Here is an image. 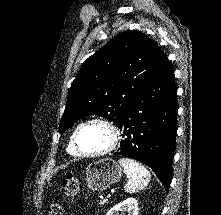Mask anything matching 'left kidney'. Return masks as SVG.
I'll list each match as a JSON object with an SVG mask.
<instances>
[{"instance_id":"obj_1","label":"left kidney","mask_w":221,"mask_h":215,"mask_svg":"<svg viewBox=\"0 0 221 215\" xmlns=\"http://www.w3.org/2000/svg\"><path fill=\"white\" fill-rule=\"evenodd\" d=\"M128 212V215H138V202L134 198H127L123 202L113 206L106 215H120L119 212Z\"/></svg>"}]
</instances>
